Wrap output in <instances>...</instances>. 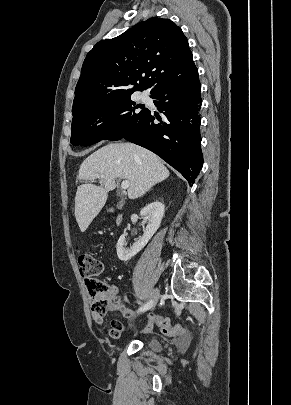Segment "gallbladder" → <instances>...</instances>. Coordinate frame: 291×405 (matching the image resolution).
<instances>
[{
	"mask_svg": "<svg viewBox=\"0 0 291 405\" xmlns=\"http://www.w3.org/2000/svg\"><path fill=\"white\" fill-rule=\"evenodd\" d=\"M123 205V201H120L119 203H118V207H121Z\"/></svg>",
	"mask_w": 291,
	"mask_h": 405,
	"instance_id": "bac80fb5",
	"label": "gallbladder"
}]
</instances>
